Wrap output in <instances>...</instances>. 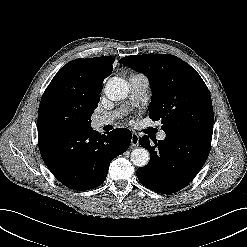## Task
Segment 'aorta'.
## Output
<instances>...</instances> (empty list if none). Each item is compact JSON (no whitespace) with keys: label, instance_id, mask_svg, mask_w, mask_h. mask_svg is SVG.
Returning <instances> with one entry per match:
<instances>
[{"label":"aorta","instance_id":"762f6f07","mask_svg":"<svg viewBox=\"0 0 247 247\" xmlns=\"http://www.w3.org/2000/svg\"><path fill=\"white\" fill-rule=\"evenodd\" d=\"M108 99L112 101H120L128 95L127 82L118 77L110 78L104 88ZM131 161L137 167H144L150 160V154L145 148H136L131 152Z\"/></svg>","mask_w":247,"mask_h":247}]
</instances>
